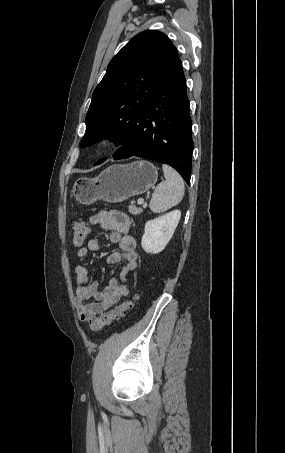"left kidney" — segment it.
Wrapping results in <instances>:
<instances>
[{"label":"left kidney","mask_w":285,"mask_h":453,"mask_svg":"<svg viewBox=\"0 0 285 453\" xmlns=\"http://www.w3.org/2000/svg\"><path fill=\"white\" fill-rule=\"evenodd\" d=\"M180 218V210H173L147 221L141 240L143 250L153 254L163 251L172 238Z\"/></svg>","instance_id":"left-kidney-1"}]
</instances>
